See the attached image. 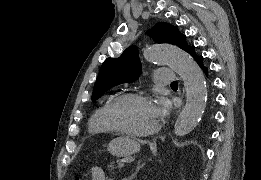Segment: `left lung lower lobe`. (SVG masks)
<instances>
[{"label": "left lung lower lobe", "mask_w": 261, "mask_h": 180, "mask_svg": "<svg viewBox=\"0 0 261 180\" xmlns=\"http://www.w3.org/2000/svg\"><path fill=\"white\" fill-rule=\"evenodd\" d=\"M196 61L197 63L200 65V67L203 69V71L205 72V74L207 75L208 73V69L203 65V57L196 55L195 53V47L191 46L188 51H187Z\"/></svg>", "instance_id": "obj_1"}]
</instances>
